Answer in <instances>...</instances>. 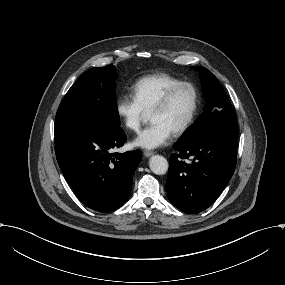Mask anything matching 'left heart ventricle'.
Returning <instances> with one entry per match:
<instances>
[{"label":"left heart ventricle","mask_w":285,"mask_h":285,"mask_svg":"<svg viewBox=\"0 0 285 285\" xmlns=\"http://www.w3.org/2000/svg\"><path fill=\"white\" fill-rule=\"evenodd\" d=\"M193 99V92L190 87L178 88L167 107L150 113L151 121H161L173 130L188 116Z\"/></svg>","instance_id":"b2bd125f"}]
</instances>
